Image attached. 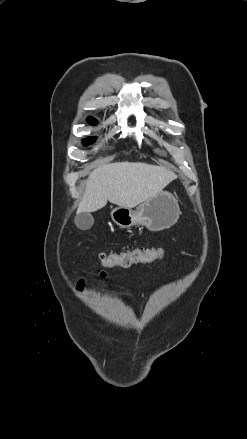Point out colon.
<instances>
[{
    "label": "colon",
    "instance_id": "5ec220e1",
    "mask_svg": "<svg viewBox=\"0 0 247 439\" xmlns=\"http://www.w3.org/2000/svg\"><path fill=\"white\" fill-rule=\"evenodd\" d=\"M163 256L161 249H133L114 254H101L99 259L104 267H130L134 264L150 263Z\"/></svg>",
    "mask_w": 247,
    "mask_h": 439
}]
</instances>
